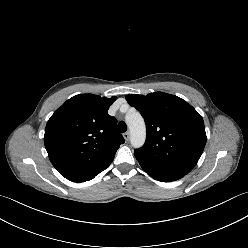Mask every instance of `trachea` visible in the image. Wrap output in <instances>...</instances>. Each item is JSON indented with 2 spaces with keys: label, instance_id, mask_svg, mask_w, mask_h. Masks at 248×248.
<instances>
[{
  "label": "trachea",
  "instance_id": "1",
  "mask_svg": "<svg viewBox=\"0 0 248 248\" xmlns=\"http://www.w3.org/2000/svg\"><path fill=\"white\" fill-rule=\"evenodd\" d=\"M117 129H118V131H119L120 133L126 132V131H127V126H126L125 122L120 121V122L118 123Z\"/></svg>",
  "mask_w": 248,
  "mask_h": 248
}]
</instances>
